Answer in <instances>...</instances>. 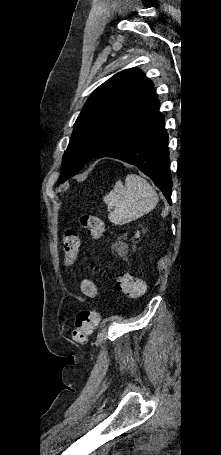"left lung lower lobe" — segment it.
<instances>
[{"instance_id":"0a47b994","label":"left lung lower lobe","mask_w":221,"mask_h":455,"mask_svg":"<svg viewBox=\"0 0 221 455\" xmlns=\"http://www.w3.org/2000/svg\"><path fill=\"white\" fill-rule=\"evenodd\" d=\"M158 103L151 111L128 125L96 155L112 157L137 166L171 203L168 134Z\"/></svg>"}]
</instances>
